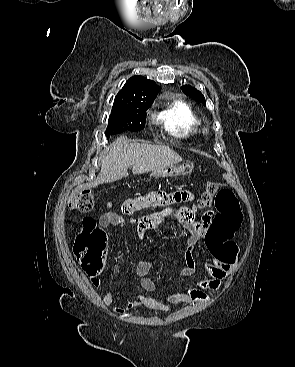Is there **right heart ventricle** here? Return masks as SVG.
<instances>
[{
	"label": "right heart ventricle",
	"mask_w": 295,
	"mask_h": 367,
	"mask_svg": "<svg viewBox=\"0 0 295 367\" xmlns=\"http://www.w3.org/2000/svg\"><path fill=\"white\" fill-rule=\"evenodd\" d=\"M159 124L176 137H187L199 132L202 118L193 108L182 101L175 102L157 116Z\"/></svg>",
	"instance_id": "e07e8e85"
}]
</instances>
